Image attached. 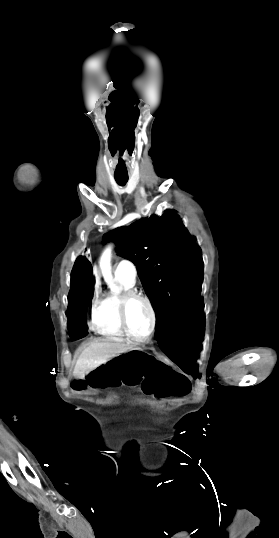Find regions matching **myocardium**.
Instances as JSON below:
<instances>
[{
  "label": "myocardium",
  "instance_id": "1",
  "mask_svg": "<svg viewBox=\"0 0 279 538\" xmlns=\"http://www.w3.org/2000/svg\"><path fill=\"white\" fill-rule=\"evenodd\" d=\"M135 301H141V302H144L149 311H150V314H151V326H150V330L149 332L147 333V335L143 336V337H139V336H136L134 335L130 329H129V326H128V322H127V310L129 308V306L131 305V303L135 302ZM118 319H119V323L124 331V333L126 334V336L128 338H130L131 340L137 342V343H145L147 341H149L152 336L154 335L155 331H156V328H157V313H156V310H155V307L151 301V299L144 295V294H141V293H138L134 290H130V291H127L125 292L121 299H120V302H119V306H118Z\"/></svg>",
  "mask_w": 279,
  "mask_h": 538
}]
</instances>
